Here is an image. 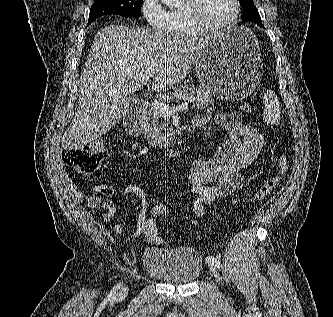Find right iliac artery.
<instances>
[{
  "label": "right iliac artery",
  "mask_w": 333,
  "mask_h": 317,
  "mask_svg": "<svg viewBox=\"0 0 333 317\" xmlns=\"http://www.w3.org/2000/svg\"><path fill=\"white\" fill-rule=\"evenodd\" d=\"M121 283L117 284L114 288H113V292L116 293V291H118V289L120 288Z\"/></svg>",
  "instance_id": "82829eb1"
}]
</instances>
